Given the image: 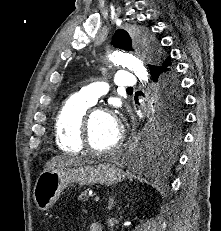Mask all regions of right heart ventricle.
<instances>
[{
	"label": "right heart ventricle",
	"instance_id": "1",
	"mask_svg": "<svg viewBox=\"0 0 221 231\" xmlns=\"http://www.w3.org/2000/svg\"><path fill=\"white\" fill-rule=\"evenodd\" d=\"M90 104L77 96L68 98L59 109L54 131L58 148L66 153H79L84 148L80 140L81 121Z\"/></svg>",
	"mask_w": 221,
	"mask_h": 231
}]
</instances>
